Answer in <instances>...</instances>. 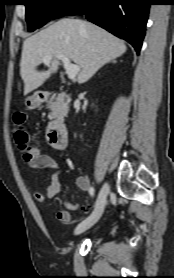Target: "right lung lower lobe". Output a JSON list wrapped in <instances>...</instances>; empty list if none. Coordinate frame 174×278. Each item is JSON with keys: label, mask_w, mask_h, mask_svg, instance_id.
Returning a JSON list of instances; mask_svg holds the SVG:
<instances>
[{"label": "right lung lower lobe", "mask_w": 174, "mask_h": 278, "mask_svg": "<svg viewBox=\"0 0 174 278\" xmlns=\"http://www.w3.org/2000/svg\"><path fill=\"white\" fill-rule=\"evenodd\" d=\"M149 0H79L66 15H82L128 41L139 54L149 14Z\"/></svg>", "instance_id": "1"}]
</instances>
